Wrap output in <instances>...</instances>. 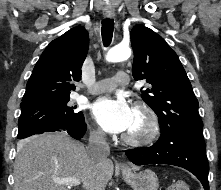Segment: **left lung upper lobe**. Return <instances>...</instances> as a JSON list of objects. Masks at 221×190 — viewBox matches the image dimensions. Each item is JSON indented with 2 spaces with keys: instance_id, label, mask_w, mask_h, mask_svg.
I'll return each mask as SVG.
<instances>
[{
  "instance_id": "1",
  "label": "left lung upper lobe",
  "mask_w": 221,
  "mask_h": 190,
  "mask_svg": "<svg viewBox=\"0 0 221 190\" xmlns=\"http://www.w3.org/2000/svg\"><path fill=\"white\" fill-rule=\"evenodd\" d=\"M131 44L133 77L149 83L141 97L159 117L160 128L204 143L198 101L177 54L161 36L144 25L133 27Z\"/></svg>"
}]
</instances>
